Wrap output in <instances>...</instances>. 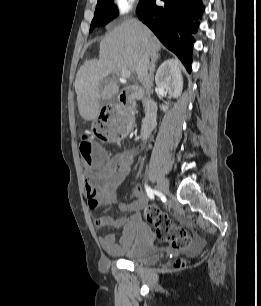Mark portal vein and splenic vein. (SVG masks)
I'll list each match as a JSON object with an SVG mask.
<instances>
[{"label":"portal vein and splenic vein","mask_w":261,"mask_h":306,"mask_svg":"<svg viewBox=\"0 0 261 306\" xmlns=\"http://www.w3.org/2000/svg\"><path fill=\"white\" fill-rule=\"evenodd\" d=\"M130 76H131V72L129 70H123L120 73V78H122L124 80H127L128 78H130Z\"/></svg>","instance_id":"portal-vein-and-splenic-vein-1"}]
</instances>
